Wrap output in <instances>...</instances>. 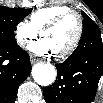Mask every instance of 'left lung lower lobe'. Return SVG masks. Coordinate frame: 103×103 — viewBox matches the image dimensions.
I'll return each instance as SVG.
<instances>
[{
  "instance_id": "left-lung-lower-lobe-1",
  "label": "left lung lower lobe",
  "mask_w": 103,
  "mask_h": 103,
  "mask_svg": "<svg viewBox=\"0 0 103 103\" xmlns=\"http://www.w3.org/2000/svg\"><path fill=\"white\" fill-rule=\"evenodd\" d=\"M57 80L44 89L47 103H90L103 74V42L99 28L82 33L79 46L56 65Z\"/></svg>"
}]
</instances>
